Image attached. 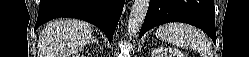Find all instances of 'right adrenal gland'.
<instances>
[{
  "mask_svg": "<svg viewBox=\"0 0 249 57\" xmlns=\"http://www.w3.org/2000/svg\"><path fill=\"white\" fill-rule=\"evenodd\" d=\"M93 42H94L95 44L99 45L97 39H94Z\"/></svg>",
  "mask_w": 249,
  "mask_h": 57,
  "instance_id": "obj_1",
  "label": "right adrenal gland"
}]
</instances>
